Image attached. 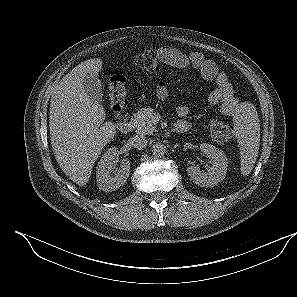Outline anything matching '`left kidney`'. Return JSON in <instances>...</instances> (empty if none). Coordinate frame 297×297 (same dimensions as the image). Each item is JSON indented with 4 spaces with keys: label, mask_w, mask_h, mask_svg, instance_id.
Masks as SVG:
<instances>
[{
    "label": "left kidney",
    "mask_w": 297,
    "mask_h": 297,
    "mask_svg": "<svg viewBox=\"0 0 297 297\" xmlns=\"http://www.w3.org/2000/svg\"><path fill=\"white\" fill-rule=\"evenodd\" d=\"M200 150L210 160L211 165L207 166V172H202L198 166H190L187 173L195 184L213 187L225 178L228 159L222 150L211 144H201Z\"/></svg>",
    "instance_id": "1"
}]
</instances>
